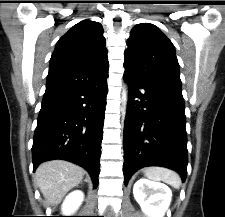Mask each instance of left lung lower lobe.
I'll list each match as a JSON object with an SVG mask.
<instances>
[{"label":"left lung lower lobe","instance_id":"obj_1","mask_svg":"<svg viewBox=\"0 0 225 217\" xmlns=\"http://www.w3.org/2000/svg\"><path fill=\"white\" fill-rule=\"evenodd\" d=\"M129 84L124 126V183L145 166L187 174V135L182 90L147 83L124 72Z\"/></svg>","mask_w":225,"mask_h":217}]
</instances>
